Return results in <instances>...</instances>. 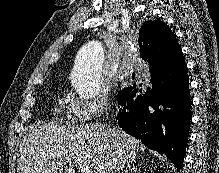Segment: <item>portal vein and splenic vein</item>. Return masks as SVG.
Masks as SVG:
<instances>
[{"instance_id": "obj_1", "label": "portal vein and splenic vein", "mask_w": 219, "mask_h": 173, "mask_svg": "<svg viewBox=\"0 0 219 173\" xmlns=\"http://www.w3.org/2000/svg\"><path fill=\"white\" fill-rule=\"evenodd\" d=\"M76 166H78V168L81 169L83 172L88 173V169L87 168H84L81 165H76Z\"/></svg>"}]
</instances>
